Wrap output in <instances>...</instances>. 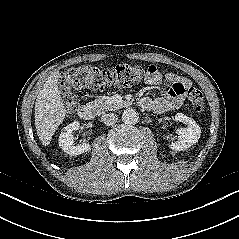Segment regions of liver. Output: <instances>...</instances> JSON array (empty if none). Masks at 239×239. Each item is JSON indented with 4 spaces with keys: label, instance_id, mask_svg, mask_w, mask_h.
<instances>
[{
    "label": "liver",
    "instance_id": "6515ba94",
    "mask_svg": "<svg viewBox=\"0 0 239 239\" xmlns=\"http://www.w3.org/2000/svg\"><path fill=\"white\" fill-rule=\"evenodd\" d=\"M59 77L60 73L56 70L47 78L35 102V127L44 146L50 144L52 136L66 115L58 88Z\"/></svg>",
    "mask_w": 239,
    "mask_h": 239
}]
</instances>
